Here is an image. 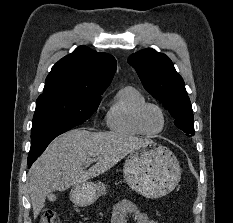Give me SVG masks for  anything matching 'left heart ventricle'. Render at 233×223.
<instances>
[{
    "mask_svg": "<svg viewBox=\"0 0 233 223\" xmlns=\"http://www.w3.org/2000/svg\"><path fill=\"white\" fill-rule=\"evenodd\" d=\"M144 123L149 132L158 133L164 127V117L160 110L150 107L145 112Z\"/></svg>",
    "mask_w": 233,
    "mask_h": 223,
    "instance_id": "1",
    "label": "left heart ventricle"
}]
</instances>
